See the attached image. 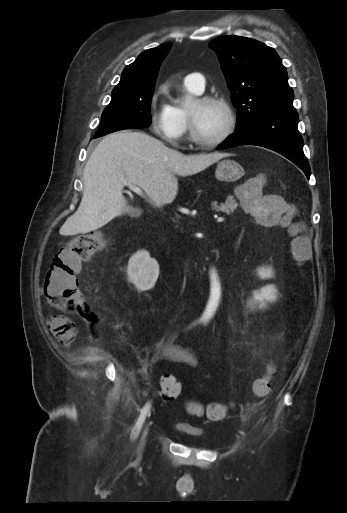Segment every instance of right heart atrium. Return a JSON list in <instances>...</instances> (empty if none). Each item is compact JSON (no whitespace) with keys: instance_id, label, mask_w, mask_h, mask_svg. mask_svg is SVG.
<instances>
[{"instance_id":"1","label":"right heart atrium","mask_w":347,"mask_h":513,"mask_svg":"<svg viewBox=\"0 0 347 513\" xmlns=\"http://www.w3.org/2000/svg\"><path fill=\"white\" fill-rule=\"evenodd\" d=\"M152 131L172 146H179L187 132L186 123L182 122L171 110L169 105L154 103L151 110Z\"/></svg>"}]
</instances>
